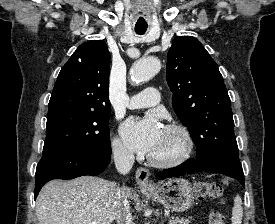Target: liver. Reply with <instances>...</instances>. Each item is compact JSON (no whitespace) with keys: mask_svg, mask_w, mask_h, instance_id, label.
<instances>
[{"mask_svg":"<svg viewBox=\"0 0 275 224\" xmlns=\"http://www.w3.org/2000/svg\"><path fill=\"white\" fill-rule=\"evenodd\" d=\"M117 188L114 182L91 176L52 180L36 200L38 224H112L117 219ZM127 197L133 198L128 188Z\"/></svg>","mask_w":275,"mask_h":224,"instance_id":"1","label":"liver"}]
</instances>
